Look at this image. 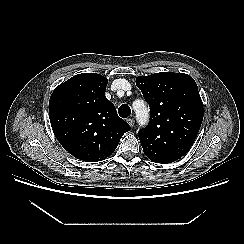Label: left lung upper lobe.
<instances>
[{
    "label": "left lung upper lobe",
    "instance_id": "5c2ea615",
    "mask_svg": "<svg viewBox=\"0 0 244 244\" xmlns=\"http://www.w3.org/2000/svg\"><path fill=\"white\" fill-rule=\"evenodd\" d=\"M136 85L150 106V122L139 131L145 155L156 163H172L193 145L203 120L197 84L187 74L161 72L138 76Z\"/></svg>",
    "mask_w": 244,
    "mask_h": 244
}]
</instances>
